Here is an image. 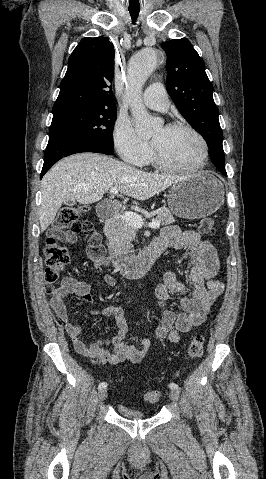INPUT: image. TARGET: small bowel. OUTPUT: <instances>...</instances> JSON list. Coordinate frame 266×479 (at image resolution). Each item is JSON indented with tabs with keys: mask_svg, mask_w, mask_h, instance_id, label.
<instances>
[{
	"mask_svg": "<svg viewBox=\"0 0 266 479\" xmlns=\"http://www.w3.org/2000/svg\"><path fill=\"white\" fill-rule=\"evenodd\" d=\"M58 237L66 243L76 241V236L67 232L59 233ZM158 240L165 245L166 249L190 248L191 267L188 280L180 281L174 272L167 271L164 274L163 282L157 286L155 291L163 312L161 323L152 335L157 339L168 338L171 342H178L181 333L189 332L192 328L205 322L212 304L224 291L223 283L215 279L219 270V259L215 247L210 242L203 240L195 231L183 232L177 226L170 225L162 229ZM91 245L89 243V246ZM91 259L93 261L92 270L96 274H100L102 268L109 264L102 257H91ZM102 279L107 288L116 286V278L113 275L105 274ZM173 293L182 295L179 299L182 312H175L167 307ZM187 293H189L188 296L185 295ZM49 295L51 308L64 326L77 352L109 365H116L124 361L140 363L144 359L150 346V340L143 339L141 348L124 343L126 327L123 322V310L114 305L93 309L91 313L93 316L115 317L119 321L118 335L113 339H96L90 344L82 340V328L72 322L65 299L69 295H75L84 303H92L93 298L86 282L66 276L58 287L49 292Z\"/></svg>",
	"mask_w": 266,
	"mask_h": 479,
	"instance_id": "1",
	"label": "small bowel"
}]
</instances>
